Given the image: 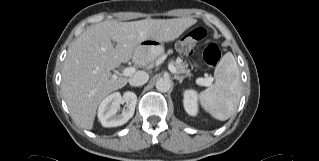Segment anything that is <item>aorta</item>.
I'll use <instances>...</instances> for the list:
<instances>
[{
  "instance_id": "obj_1",
  "label": "aorta",
  "mask_w": 319,
  "mask_h": 161,
  "mask_svg": "<svg viewBox=\"0 0 319 161\" xmlns=\"http://www.w3.org/2000/svg\"><path fill=\"white\" fill-rule=\"evenodd\" d=\"M171 88V81L168 78H159L156 82V89L159 92H168Z\"/></svg>"
}]
</instances>
